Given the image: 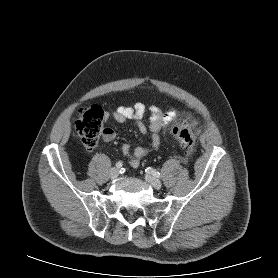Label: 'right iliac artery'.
I'll list each match as a JSON object with an SVG mask.
<instances>
[{
  "label": "right iliac artery",
  "mask_w": 278,
  "mask_h": 278,
  "mask_svg": "<svg viewBox=\"0 0 278 278\" xmlns=\"http://www.w3.org/2000/svg\"><path fill=\"white\" fill-rule=\"evenodd\" d=\"M122 164H123V163H122L121 161H118V162L116 163V167H117V168H121V167H122Z\"/></svg>",
  "instance_id": "1"
}]
</instances>
